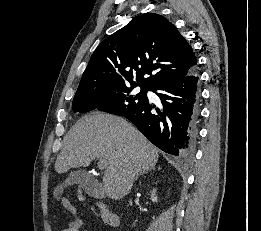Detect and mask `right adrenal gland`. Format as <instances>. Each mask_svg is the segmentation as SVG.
Masks as SVG:
<instances>
[{
    "instance_id": "obj_1",
    "label": "right adrenal gland",
    "mask_w": 261,
    "mask_h": 231,
    "mask_svg": "<svg viewBox=\"0 0 261 231\" xmlns=\"http://www.w3.org/2000/svg\"><path fill=\"white\" fill-rule=\"evenodd\" d=\"M151 169H152V170H155V167H152ZM151 169H149V170H151ZM159 169H160V168H158V170H159ZM149 170H145V171H143V172H140L139 174L136 175V177H135L134 180H136L140 175H142V174H144V173H147Z\"/></svg>"
}]
</instances>
